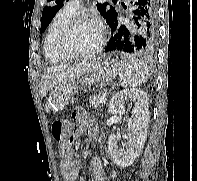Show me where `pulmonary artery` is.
<instances>
[{
  "label": "pulmonary artery",
  "mask_w": 197,
  "mask_h": 181,
  "mask_svg": "<svg viewBox=\"0 0 197 181\" xmlns=\"http://www.w3.org/2000/svg\"><path fill=\"white\" fill-rule=\"evenodd\" d=\"M80 6H81V1L80 0H70L67 3V5H66V7L69 10H71V11H73L75 13H77V11L79 10Z\"/></svg>",
  "instance_id": "1"
}]
</instances>
